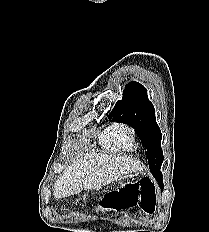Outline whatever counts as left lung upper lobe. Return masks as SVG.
Wrapping results in <instances>:
<instances>
[{"label": "left lung upper lobe", "mask_w": 209, "mask_h": 232, "mask_svg": "<svg viewBox=\"0 0 209 232\" xmlns=\"http://www.w3.org/2000/svg\"><path fill=\"white\" fill-rule=\"evenodd\" d=\"M108 117L135 129L143 146L147 149L150 171L161 185L162 134L156 123L155 109L148 99L146 88L134 81L127 84L122 99L117 101Z\"/></svg>", "instance_id": "1"}]
</instances>
